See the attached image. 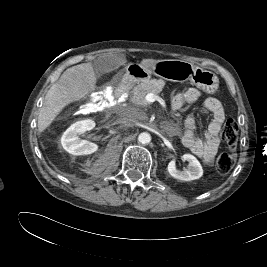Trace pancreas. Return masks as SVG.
Returning <instances> with one entry per match:
<instances>
[{
    "label": "pancreas",
    "instance_id": "1",
    "mask_svg": "<svg viewBox=\"0 0 267 267\" xmlns=\"http://www.w3.org/2000/svg\"><path fill=\"white\" fill-rule=\"evenodd\" d=\"M164 85H165V82L163 80L152 79V80L144 81L143 83L135 86L132 91L133 103L138 104V105L140 104L145 105L147 103L145 100V96L148 93H153L155 95H158L162 91Z\"/></svg>",
    "mask_w": 267,
    "mask_h": 267
}]
</instances>
